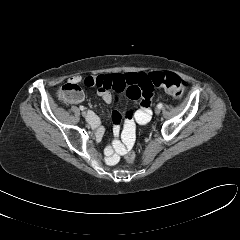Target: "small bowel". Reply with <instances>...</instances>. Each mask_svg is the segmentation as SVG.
<instances>
[{
    "mask_svg": "<svg viewBox=\"0 0 240 240\" xmlns=\"http://www.w3.org/2000/svg\"><path fill=\"white\" fill-rule=\"evenodd\" d=\"M69 82L80 83L83 82L86 86L97 87V93L102 100L111 104L118 100L111 91L116 93L126 92L127 96L133 100L140 101V108L135 112L134 117L126 119L125 132L134 130L135 122L139 124H146L151 119V103L153 96V85L149 79V75L145 73H125V74H104L89 76L83 79L80 75L72 76ZM83 101V95L79 99L70 101L73 104H79ZM113 133L115 136L120 132L121 115L118 111L112 113ZM88 122L95 129L97 137H101L104 129L101 126L99 117L94 112H89ZM117 152L125 153L123 146L116 144Z\"/></svg>",
    "mask_w": 240,
    "mask_h": 240,
    "instance_id": "c3829d8e",
    "label": "small bowel"
}]
</instances>
